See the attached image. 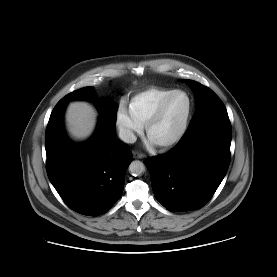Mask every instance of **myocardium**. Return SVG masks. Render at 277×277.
Listing matches in <instances>:
<instances>
[{
	"mask_svg": "<svg viewBox=\"0 0 277 277\" xmlns=\"http://www.w3.org/2000/svg\"><path fill=\"white\" fill-rule=\"evenodd\" d=\"M177 94H184L187 97V99H188L187 114H186V117H185L182 127L180 128V130L174 137H172L171 139H169L165 142L156 144L161 149H167V148H170V147L176 145L185 136V134L189 128L192 113H193V100H192L190 94L185 90L175 89L174 91L169 93L166 97H164L160 101V103L157 105L154 112L151 114V116L149 117V119L147 120V122L145 124V131H146V134L149 136L151 128L161 117L166 105Z\"/></svg>",
	"mask_w": 277,
	"mask_h": 277,
	"instance_id": "myocardium-1",
	"label": "myocardium"
}]
</instances>
